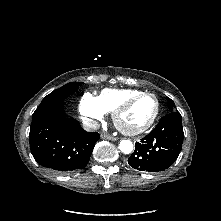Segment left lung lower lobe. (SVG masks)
I'll use <instances>...</instances> for the list:
<instances>
[{
	"instance_id": "obj_1",
	"label": "left lung lower lobe",
	"mask_w": 221,
	"mask_h": 221,
	"mask_svg": "<svg viewBox=\"0 0 221 221\" xmlns=\"http://www.w3.org/2000/svg\"><path fill=\"white\" fill-rule=\"evenodd\" d=\"M184 132L181 115L172 111L147 136L135 143L129 165L140 171L158 172L169 168L179 156Z\"/></svg>"
}]
</instances>
